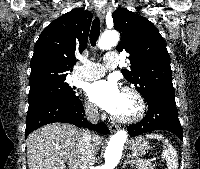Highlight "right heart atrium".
<instances>
[{
    "label": "right heart atrium",
    "instance_id": "d8ad5b80",
    "mask_svg": "<svg viewBox=\"0 0 200 169\" xmlns=\"http://www.w3.org/2000/svg\"><path fill=\"white\" fill-rule=\"evenodd\" d=\"M84 113L88 118L94 119L98 116V109L91 102H87L84 105Z\"/></svg>",
    "mask_w": 200,
    "mask_h": 169
}]
</instances>
